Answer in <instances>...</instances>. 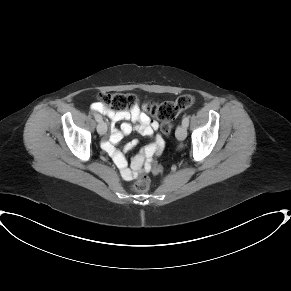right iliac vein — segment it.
Returning a JSON list of instances; mask_svg holds the SVG:
<instances>
[{
	"mask_svg": "<svg viewBox=\"0 0 291 291\" xmlns=\"http://www.w3.org/2000/svg\"><path fill=\"white\" fill-rule=\"evenodd\" d=\"M97 132L100 135H104L107 132V125L105 122H99V124L97 125Z\"/></svg>",
	"mask_w": 291,
	"mask_h": 291,
	"instance_id": "obj_1",
	"label": "right iliac vein"
}]
</instances>
